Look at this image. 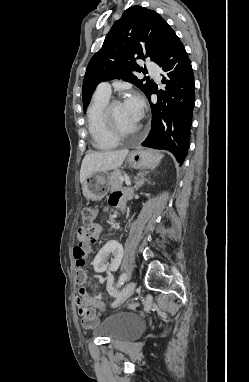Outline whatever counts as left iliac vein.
<instances>
[{
    "instance_id": "1",
    "label": "left iliac vein",
    "mask_w": 249,
    "mask_h": 382,
    "mask_svg": "<svg viewBox=\"0 0 249 382\" xmlns=\"http://www.w3.org/2000/svg\"><path fill=\"white\" fill-rule=\"evenodd\" d=\"M136 284L135 282L131 281L128 284L124 286V288L120 291L116 301L114 302L113 306L118 307L121 304H123L135 291Z\"/></svg>"
}]
</instances>
